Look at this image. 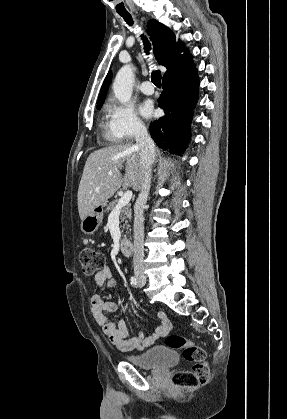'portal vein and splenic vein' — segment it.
Wrapping results in <instances>:
<instances>
[{"instance_id":"18ae733b","label":"portal vein and splenic vein","mask_w":287,"mask_h":419,"mask_svg":"<svg viewBox=\"0 0 287 419\" xmlns=\"http://www.w3.org/2000/svg\"><path fill=\"white\" fill-rule=\"evenodd\" d=\"M109 175H112L113 172L109 171L108 172ZM132 198V191L128 190L126 191L121 198L119 199L117 205L115 206L113 211L119 210L121 208H123L124 206H126L127 204H129L130 200Z\"/></svg>"}]
</instances>
